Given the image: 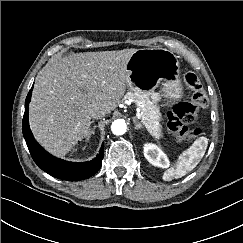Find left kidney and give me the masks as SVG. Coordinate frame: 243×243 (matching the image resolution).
I'll use <instances>...</instances> for the list:
<instances>
[{"label": "left kidney", "instance_id": "1", "mask_svg": "<svg viewBox=\"0 0 243 243\" xmlns=\"http://www.w3.org/2000/svg\"><path fill=\"white\" fill-rule=\"evenodd\" d=\"M144 156L154 166L167 168L170 165L166 154L155 144L144 145Z\"/></svg>", "mask_w": 243, "mask_h": 243}]
</instances>
